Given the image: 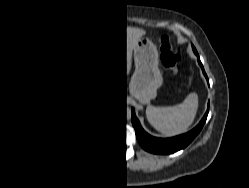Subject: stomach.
I'll return each mask as SVG.
<instances>
[{
  "label": "stomach",
  "mask_w": 249,
  "mask_h": 188,
  "mask_svg": "<svg viewBox=\"0 0 249 188\" xmlns=\"http://www.w3.org/2000/svg\"><path fill=\"white\" fill-rule=\"evenodd\" d=\"M133 50L135 72L130 84L131 94L141 103H148L163 84L159 53L156 45L146 37L139 38Z\"/></svg>",
  "instance_id": "0dacf381"
}]
</instances>
